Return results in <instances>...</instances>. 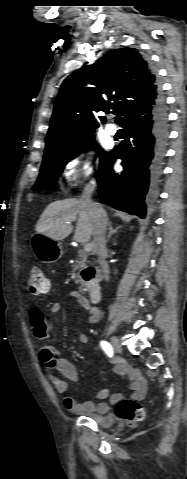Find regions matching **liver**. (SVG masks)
Listing matches in <instances>:
<instances>
[{"label": "liver", "mask_w": 187, "mask_h": 479, "mask_svg": "<svg viewBox=\"0 0 187 479\" xmlns=\"http://www.w3.org/2000/svg\"><path fill=\"white\" fill-rule=\"evenodd\" d=\"M77 219L73 239L87 243L92 236V222L81 199L69 198L49 204L40 216L35 230L53 240L65 239L73 230L72 222Z\"/></svg>", "instance_id": "1"}]
</instances>
